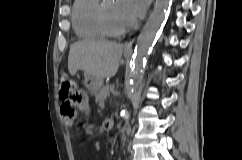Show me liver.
<instances>
[{"label":"liver","mask_w":242,"mask_h":160,"mask_svg":"<svg viewBox=\"0 0 242 160\" xmlns=\"http://www.w3.org/2000/svg\"><path fill=\"white\" fill-rule=\"evenodd\" d=\"M123 52L121 44L105 40H83L70 46L68 70L75 75L78 70L103 81L113 77L119 68Z\"/></svg>","instance_id":"1"}]
</instances>
